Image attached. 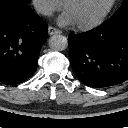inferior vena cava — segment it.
Wrapping results in <instances>:
<instances>
[{
  "label": "inferior vena cava",
  "mask_w": 128,
  "mask_h": 128,
  "mask_svg": "<svg viewBox=\"0 0 128 128\" xmlns=\"http://www.w3.org/2000/svg\"><path fill=\"white\" fill-rule=\"evenodd\" d=\"M35 8L37 10L38 13L42 14V15H51L52 14V9L50 6L44 4V3H38L35 5Z\"/></svg>",
  "instance_id": "1"
}]
</instances>
